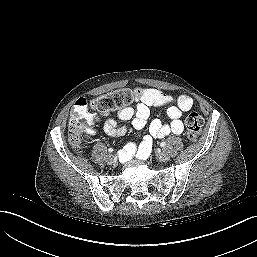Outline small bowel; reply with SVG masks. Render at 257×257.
Listing matches in <instances>:
<instances>
[{"label": "small bowel", "mask_w": 257, "mask_h": 257, "mask_svg": "<svg viewBox=\"0 0 257 257\" xmlns=\"http://www.w3.org/2000/svg\"><path fill=\"white\" fill-rule=\"evenodd\" d=\"M193 100L190 96L181 94L171 96L154 88L142 90V95L136 107H126L120 110L115 118L107 115L99 116L88 113L89 123L95 121H103L104 130L110 136H121L125 134L126 128L119 126L121 121H132V125L136 130L145 127L150 115V107H166V117L168 123H163L159 119H154L149 125V134L144 138L139 146L130 143L124 147L121 160L126 161L132 155L136 154L139 159H145L150 153L153 138H163L170 134L179 135L184 130L182 118L184 114L191 109ZM94 134L95 131H88Z\"/></svg>", "instance_id": "obj_1"}]
</instances>
